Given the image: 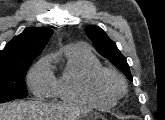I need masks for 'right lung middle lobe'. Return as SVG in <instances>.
I'll list each match as a JSON object with an SVG mask.
<instances>
[{
  "instance_id": "right-lung-middle-lobe-1",
  "label": "right lung middle lobe",
  "mask_w": 165,
  "mask_h": 120,
  "mask_svg": "<svg viewBox=\"0 0 165 120\" xmlns=\"http://www.w3.org/2000/svg\"><path fill=\"white\" fill-rule=\"evenodd\" d=\"M34 59L0 62V103L28 95L24 78Z\"/></svg>"
}]
</instances>
